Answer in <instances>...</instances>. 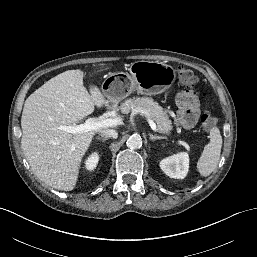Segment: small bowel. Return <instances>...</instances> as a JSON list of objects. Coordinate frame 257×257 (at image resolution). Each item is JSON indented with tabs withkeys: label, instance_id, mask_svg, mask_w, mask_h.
Returning a JSON list of instances; mask_svg holds the SVG:
<instances>
[{
	"label": "small bowel",
	"instance_id": "obj_1",
	"mask_svg": "<svg viewBox=\"0 0 257 257\" xmlns=\"http://www.w3.org/2000/svg\"><path fill=\"white\" fill-rule=\"evenodd\" d=\"M178 115L175 123L186 129L192 128L199 115V101L196 94L190 90L181 91L176 98Z\"/></svg>",
	"mask_w": 257,
	"mask_h": 257
}]
</instances>
